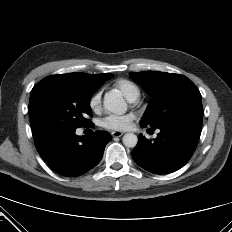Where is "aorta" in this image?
I'll use <instances>...</instances> for the list:
<instances>
[{"mask_svg":"<svg viewBox=\"0 0 232 232\" xmlns=\"http://www.w3.org/2000/svg\"><path fill=\"white\" fill-rule=\"evenodd\" d=\"M103 106L105 110L118 115L127 111V104L121 93L117 91H110L105 94ZM122 141L126 147L133 148L137 145L138 138L134 133H127L123 136Z\"/></svg>","mask_w":232,"mask_h":232,"instance_id":"762f6f07","label":"aorta"}]
</instances>
